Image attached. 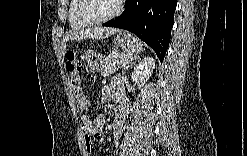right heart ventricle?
<instances>
[{
  "instance_id": "right-heart-ventricle-1",
  "label": "right heart ventricle",
  "mask_w": 247,
  "mask_h": 156,
  "mask_svg": "<svg viewBox=\"0 0 247 156\" xmlns=\"http://www.w3.org/2000/svg\"><path fill=\"white\" fill-rule=\"evenodd\" d=\"M79 0H71L68 7V22L72 29L78 30L83 28L84 26L77 20L76 10L78 6Z\"/></svg>"
}]
</instances>
